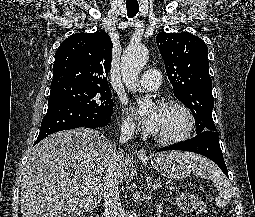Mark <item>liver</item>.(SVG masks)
I'll return each mask as SVG.
<instances>
[{"label":"liver","instance_id":"6515ba94","mask_svg":"<svg viewBox=\"0 0 255 217\" xmlns=\"http://www.w3.org/2000/svg\"><path fill=\"white\" fill-rule=\"evenodd\" d=\"M112 142L89 128L64 130L34 146L21 183L22 217H73L94 209L104 193ZM119 181L130 160L118 153Z\"/></svg>","mask_w":255,"mask_h":217}]
</instances>
